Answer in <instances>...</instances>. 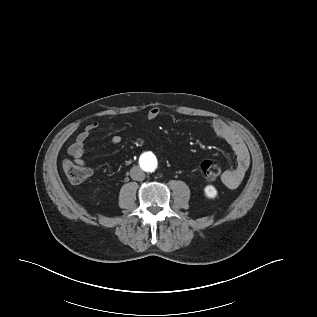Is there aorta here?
Instances as JSON below:
<instances>
[{"instance_id":"aorta-1","label":"aorta","mask_w":317,"mask_h":317,"mask_svg":"<svg viewBox=\"0 0 317 317\" xmlns=\"http://www.w3.org/2000/svg\"><path fill=\"white\" fill-rule=\"evenodd\" d=\"M141 165L148 171L153 172L156 169V159L155 156L150 155H143L140 158Z\"/></svg>"}]
</instances>
